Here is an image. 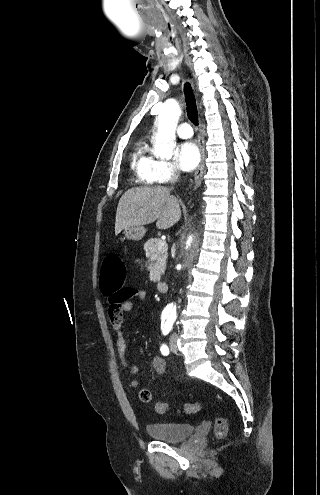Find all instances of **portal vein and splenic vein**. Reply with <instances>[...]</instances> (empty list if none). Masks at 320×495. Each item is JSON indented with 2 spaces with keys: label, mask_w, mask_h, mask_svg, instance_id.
I'll use <instances>...</instances> for the list:
<instances>
[{
  "label": "portal vein and splenic vein",
  "mask_w": 320,
  "mask_h": 495,
  "mask_svg": "<svg viewBox=\"0 0 320 495\" xmlns=\"http://www.w3.org/2000/svg\"><path fill=\"white\" fill-rule=\"evenodd\" d=\"M165 244H166V242H165V241H160V242L158 243L159 247H162V246H164Z\"/></svg>",
  "instance_id": "18ae733b"
}]
</instances>
